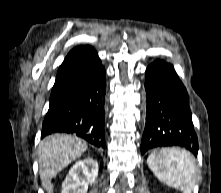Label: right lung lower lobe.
Returning a JSON list of instances; mask_svg holds the SVG:
<instances>
[{"instance_id": "1", "label": "right lung lower lobe", "mask_w": 221, "mask_h": 193, "mask_svg": "<svg viewBox=\"0 0 221 193\" xmlns=\"http://www.w3.org/2000/svg\"><path fill=\"white\" fill-rule=\"evenodd\" d=\"M106 72L100 59L60 97L50 101L41 138L54 133L75 134L105 149Z\"/></svg>"}]
</instances>
